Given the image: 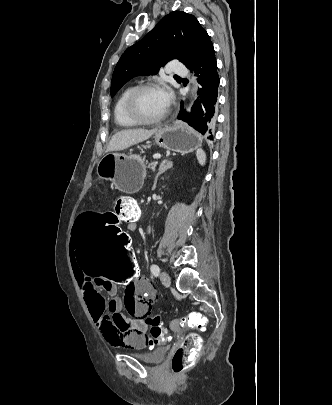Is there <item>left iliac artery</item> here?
I'll return each mask as SVG.
<instances>
[{
	"label": "left iliac artery",
	"instance_id": "left-iliac-artery-1",
	"mask_svg": "<svg viewBox=\"0 0 332 405\" xmlns=\"http://www.w3.org/2000/svg\"><path fill=\"white\" fill-rule=\"evenodd\" d=\"M151 272L155 277H157L159 275V273H160L159 266L157 264H152L151 265Z\"/></svg>",
	"mask_w": 332,
	"mask_h": 405
}]
</instances>
